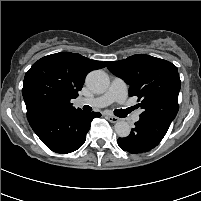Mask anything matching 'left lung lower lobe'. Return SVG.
Instances as JSON below:
<instances>
[{
	"label": "left lung lower lobe",
	"mask_w": 201,
	"mask_h": 201,
	"mask_svg": "<svg viewBox=\"0 0 201 201\" xmlns=\"http://www.w3.org/2000/svg\"><path fill=\"white\" fill-rule=\"evenodd\" d=\"M170 124L162 118H140L128 137L118 139V145L132 154L148 152L160 143Z\"/></svg>",
	"instance_id": "0a47b994"
}]
</instances>
